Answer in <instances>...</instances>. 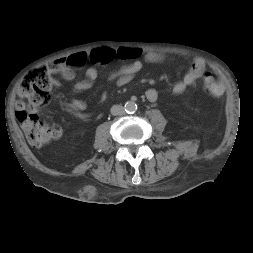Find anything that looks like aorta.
Wrapping results in <instances>:
<instances>
[{
  "mask_svg": "<svg viewBox=\"0 0 253 253\" xmlns=\"http://www.w3.org/2000/svg\"><path fill=\"white\" fill-rule=\"evenodd\" d=\"M124 109L126 113H134L137 110V104L134 101H128L125 103Z\"/></svg>",
  "mask_w": 253,
  "mask_h": 253,
  "instance_id": "obj_1",
  "label": "aorta"
}]
</instances>
